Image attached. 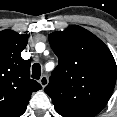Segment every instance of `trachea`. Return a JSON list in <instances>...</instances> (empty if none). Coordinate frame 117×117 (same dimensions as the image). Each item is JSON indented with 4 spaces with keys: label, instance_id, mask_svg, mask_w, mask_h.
Returning <instances> with one entry per match:
<instances>
[{
    "label": "trachea",
    "instance_id": "3493384b",
    "mask_svg": "<svg viewBox=\"0 0 117 117\" xmlns=\"http://www.w3.org/2000/svg\"><path fill=\"white\" fill-rule=\"evenodd\" d=\"M41 76V66L38 63H35L32 66V78L33 79H40Z\"/></svg>",
    "mask_w": 117,
    "mask_h": 117
}]
</instances>
